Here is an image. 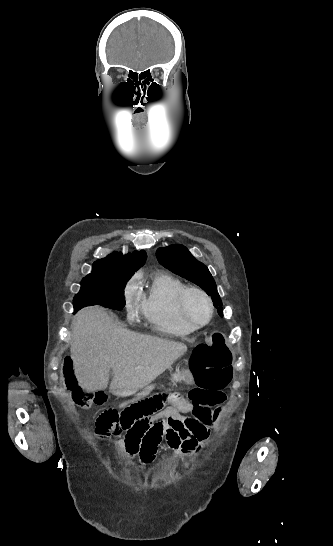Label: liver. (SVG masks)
<instances>
[{"label":"liver","instance_id":"liver-1","mask_svg":"<svg viewBox=\"0 0 333 546\" xmlns=\"http://www.w3.org/2000/svg\"><path fill=\"white\" fill-rule=\"evenodd\" d=\"M71 360L78 385L127 397L149 385L187 351V346L141 335L116 325L99 306L80 310L72 321Z\"/></svg>","mask_w":333,"mask_h":546}]
</instances>
